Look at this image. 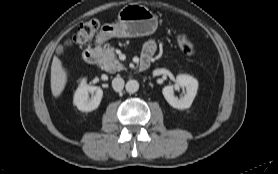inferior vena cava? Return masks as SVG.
<instances>
[{"instance_id": "obj_1", "label": "inferior vena cava", "mask_w": 278, "mask_h": 174, "mask_svg": "<svg viewBox=\"0 0 278 174\" xmlns=\"http://www.w3.org/2000/svg\"><path fill=\"white\" fill-rule=\"evenodd\" d=\"M112 87L116 92H120L124 88V80L121 77H115L112 80Z\"/></svg>"}]
</instances>
